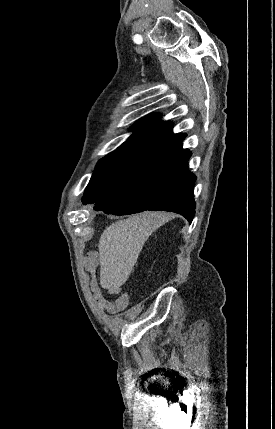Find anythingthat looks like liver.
Returning a JSON list of instances; mask_svg holds the SVG:
<instances>
[{
  "instance_id": "liver-1",
  "label": "liver",
  "mask_w": 275,
  "mask_h": 429,
  "mask_svg": "<svg viewBox=\"0 0 275 429\" xmlns=\"http://www.w3.org/2000/svg\"><path fill=\"white\" fill-rule=\"evenodd\" d=\"M171 217L165 212H143L116 221L104 230L98 245L103 288L110 293L120 291L149 236Z\"/></svg>"
}]
</instances>
